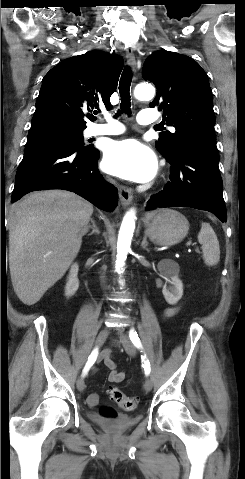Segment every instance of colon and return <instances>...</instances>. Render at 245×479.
I'll use <instances>...</instances> for the list:
<instances>
[{"instance_id":"colon-1","label":"colon","mask_w":245,"mask_h":479,"mask_svg":"<svg viewBox=\"0 0 245 479\" xmlns=\"http://www.w3.org/2000/svg\"><path fill=\"white\" fill-rule=\"evenodd\" d=\"M109 396L113 402H115L123 410H132L136 407V400L128 397L117 387L111 386L108 389ZM101 414L106 417H114L115 413L110 408H103Z\"/></svg>"}]
</instances>
